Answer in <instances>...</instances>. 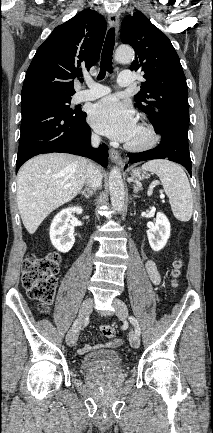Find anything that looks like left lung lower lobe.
<instances>
[{
  "instance_id": "0a47b994",
  "label": "left lung lower lobe",
  "mask_w": 213,
  "mask_h": 433,
  "mask_svg": "<svg viewBox=\"0 0 213 433\" xmlns=\"http://www.w3.org/2000/svg\"><path fill=\"white\" fill-rule=\"evenodd\" d=\"M161 142L154 148L141 153H129L128 162L136 163L151 159H168L183 165L191 175V158L188 146V130L176 125L162 127Z\"/></svg>"
}]
</instances>
